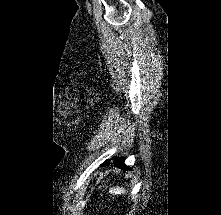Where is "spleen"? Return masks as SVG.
Returning a JSON list of instances; mask_svg holds the SVG:
<instances>
[{
  "instance_id": "obj_1",
  "label": "spleen",
  "mask_w": 221,
  "mask_h": 215,
  "mask_svg": "<svg viewBox=\"0 0 221 215\" xmlns=\"http://www.w3.org/2000/svg\"><path fill=\"white\" fill-rule=\"evenodd\" d=\"M125 191H124V189L123 188H115V189H110V193H112V194H122V193H124Z\"/></svg>"
}]
</instances>
